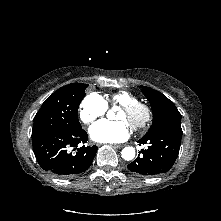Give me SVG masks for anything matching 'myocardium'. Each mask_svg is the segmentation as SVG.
Instances as JSON below:
<instances>
[{"label": "myocardium", "instance_id": "1", "mask_svg": "<svg viewBox=\"0 0 221 221\" xmlns=\"http://www.w3.org/2000/svg\"><path fill=\"white\" fill-rule=\"evenodd\" d=\"M121 109L129 115H135L138 112L142 113L139 120L129 124L134 131L146 128L152 120V109L147 103L137 101L127 105H122Z\"/></svg>", "mask_w": 221, "mask_h": 221}]
</instances>
